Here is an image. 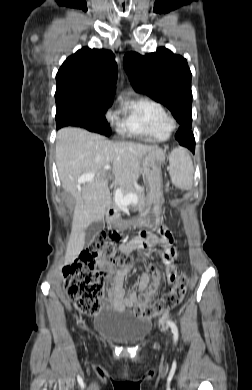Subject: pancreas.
Here are the masks:
<instances>
[{"label":"pancreas","instance_id":"pancreas-1","mask_svg":"<svg viewBox=\"0 0 252 390\" xmlns=\"http://www.w3.org/2000/svg\"><path fill=\"white\" fill-rule=\"evenodd\" d=\"M135 193H136V192H135ZM138 198L140 199V201H137V202H136V205L131 204V206L134 207V210H135V211H138V210H139V212H140V211H141V206L144 205V195H143L142 197H138ZM114 204H115V206L118 207V204H117L116 201L114 202Z\"/></svg>","mask_w":252,"mask_h":390}]
</instances>
